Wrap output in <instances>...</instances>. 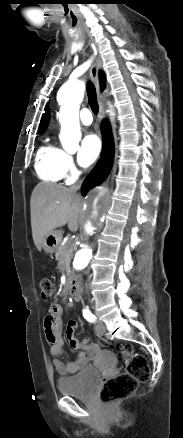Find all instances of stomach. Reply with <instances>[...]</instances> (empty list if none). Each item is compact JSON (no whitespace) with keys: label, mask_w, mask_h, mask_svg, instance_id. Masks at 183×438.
<instances>
[{"label":"stomach","mask_w":183,"mask_h":438,"mask_svg":"<svg viewBox=\"0 0 183 438\" xmlns=\"http://www.w3.org/2000/svg\"><path fill=\"white\" fill-rule=\"evenodd\" d=\"M62 234L60 231L53 230L48 234L41 247L46 253H54L61 243Z\"/></svg>","instance_id":"obj_1"}]
</instances>
